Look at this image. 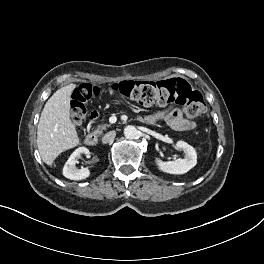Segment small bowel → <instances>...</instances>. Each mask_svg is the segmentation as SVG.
I'll return each instance as SVG.
<instances>
[{"mask_svg":"<svg viewBox=\"0 0 264 264\" xmlns=\"http://www.w3.org/2000/svg\"><path fill=\"white\" fill-rule=\"evenodd\" d=\"M158 120H165L166 123L177 131H191L196 127L194 121L186 118L183 113L173 107L152 113L145 117L148 123H154Z\"/></svg>","mask_w":264,"mask_h":264,"instance_id":"1","label":"small bowel"}]
</instances>
